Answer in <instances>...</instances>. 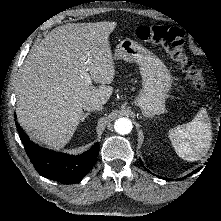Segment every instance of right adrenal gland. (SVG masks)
I'll return each mask as SVG.
<instances>
[{
  "label": "right adrenal gland",
  "instance_id": "1",
  "mask_svg": "<svg viewBox=\"0 0 221 221\" xmlns=\"http://www.w3.org/2000/svg\"><path fill=\"white\" fill-rule=\"evenodd\" d=\"M90 114H91L90 112L85 113L81 119V122H83L85 118L88 117Z\"/></svg>",
  "mask_w": 221,
  "mask_h": 221
}]
</instances>
